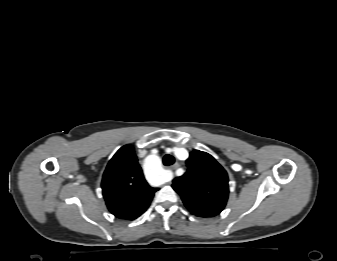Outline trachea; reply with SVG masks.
I'll return each instance as SVG.
<instances>
[{
    "instance_id": "1",
    "label": "trachea",
    "mask_w": 337,
    "mask_h": 261,
    "mask_svg": "<svg viewBox=\"0 0 337 261\" xmlns=\"http://www.w3.org/2000/svg\"><path fill=\"white\" fill-rule=\"evenodd\" d=\"M174 162H175V159L172 155L167 154L163 157V164L166 166L172 165L174 164Z\"/></svg>"
}]
</instances>
